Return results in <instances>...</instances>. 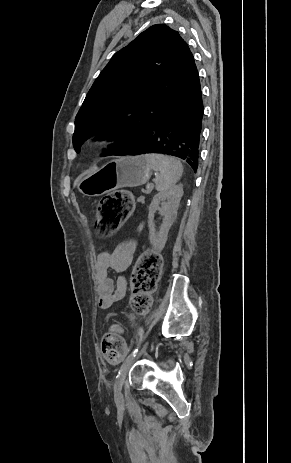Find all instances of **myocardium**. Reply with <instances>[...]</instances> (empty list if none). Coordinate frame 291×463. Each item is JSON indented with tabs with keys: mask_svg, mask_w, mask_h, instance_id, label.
<instances>
[{
	"mask_svg": "<svg viewBox=\"0 0 291 463\" xmlns=\"http://www.w3.org/2000/svg\"><path fill=\"white\" fill-rule=\"evenodd\" d=\"M114 137V133L110 129H101L98 130L94 136L93 139L96 142H110Z\"/></svg>",
	"mask_w": 291,
	"mask_h": 463,
	"instance_id": "obj_1",
	"label": "myocardium"
}]
</instances>
